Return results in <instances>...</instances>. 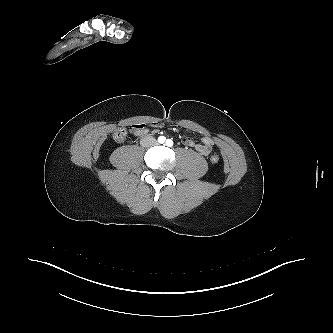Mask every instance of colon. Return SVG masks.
Instances as JSON below:
<instances>
[{
  "label": "colon",
  "instance_id": "colon-1",
  "mask_svg": "<svg viewBox=\"0 0 333 333\" xmlns=\"http://www.w3.org/2000/svg\"><path fill=\"white\" fill-rule=\"evenodd\" d=\"M126 137H127V131L123 128L116 130L113 134V138L117 142L124 141L126 139ZM210 161L213 164L218 163L219 162V155L216 154V153L212 154L211 157H210Z\"/></svg>",
  "mask_w": 333,
  "mask_h": 333
}]
</instances>
